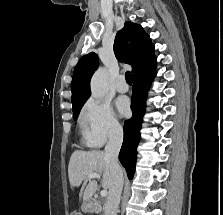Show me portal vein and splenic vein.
I'll list each match as a JSON object with an SVG mask.
<instances>
[{"instance_id": "18ae733b", "label": "portal vein and splenic vein", "mask_w": 223, "mask_h": 215, "mask_svg": "<svg viewBox=\"0 0 223 215\" xmlns=\"http://www.w3.org/2000/svg\"><path fill=\"white\" fill-rule=\"evenodd\" d=\"M88 177H97V179H100V175L99 173H89ZM102 197H106L107 195V189H102V191H100Z\"/></svg>"}]
</instances>
